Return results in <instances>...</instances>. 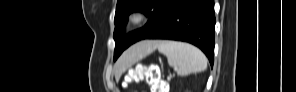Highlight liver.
<instances>
[{"instance_id": "1", "label": "liver", "mask_w": 296, "mask_h": 92, "mask_svg": "<svg viewBox=\"0 0 296 92\" xmlns=\"http://www.w3.org/2000/svg\"><path fill=\"white\" fill-rule=\"evenodd\" d=\"M158 43L157 41H143L125 51L114 66L116 78L118 79L126 69L153 52Z\"/></svg>"}]
</instances>
